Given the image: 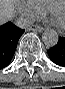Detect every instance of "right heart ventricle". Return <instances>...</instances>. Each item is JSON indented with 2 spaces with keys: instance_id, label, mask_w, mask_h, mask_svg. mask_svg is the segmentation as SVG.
Segmentation results:
<instances>
[{
  "instance_id": "right-heart-ventricle-1",
  "label": "right heart ventricle",
  "mask_w": 65,
  "mask_h": 89,
  "mask_svg": "<svg viewBox=\"0 0 65 89\" xmlns=\"http://www.w3.org/2000/svg\"><path fill=\"white\" fill-rule=\"evenodd\" d=\"M58 0H30L40 11L45 13L49 5Z\"/></svg>"
}]
</instances>
